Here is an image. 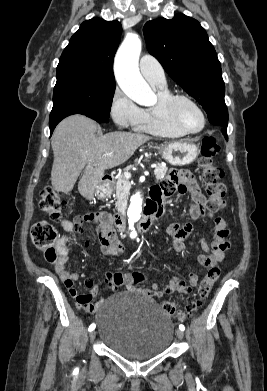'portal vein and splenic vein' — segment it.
I'll return each mask as SVG.
<instances>
[{"mask_svg":"<svg viewBox=\"0 0 267 391\" xmlns=\"http://www.w3.org/2000/svg\"><path fill=\"white\" fill-rule=\"evenodd\" d=\"M106 156H108V155L106 154ZM156 167H157L156 164H152L151 165V168H156ZM124 176L129 179L131 177V173L126 172V173H124Z\"/></svg>","mask_w":267,"mask_h":391,"instance_id":"portal-vein-and-splenic-vein-1","label":"portal vein and splenic vein"}]
</instances>
